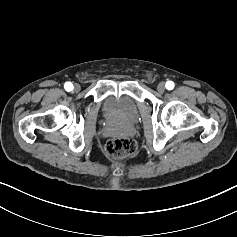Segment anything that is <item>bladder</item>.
<instances>
[{
	"label": "bladder",
	"mask_w": 237,
	"mask_h": 237,
	"mask_svg": "<svg viewBox=\"0 0 237 237\" xmlns=\"http://www.w3.org/2000/svg\"><path fill=\"white\" fill-rule=\"evenodd\" d=\"M106 119L132 122L138 119L140 108L138 102L130 96H110L103 104Z\"/></svg>",
	"instance_id": "31cf9c89"
}]
</instances>
